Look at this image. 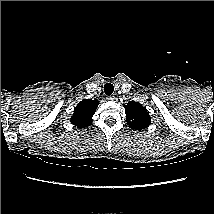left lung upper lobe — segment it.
I'll return each instance as SVG.
<instances>
[{"label":"left lung upper lobe","mask_w":214,"mask_h":214,"mask_svg":"<svg viewBox=\"0 0 214 214\" xmlns=\"http://www.w3.org/2000/svg\"><path fill=\"white\" fill-rule=\"evenodd\" d=\"M125 107L126 121L130 128L141 131L146 129L151 122L149 112L142 104L130 101Z\"/></svg>","instance_id":"left-lung-upper-lobe-1"}]
</instances>
